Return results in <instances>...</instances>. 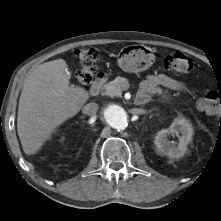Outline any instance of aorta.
Returning <instances> with one entry per match:
<instances>
[{"label": "aorta", "mask_w": 221, "mask_h": 221, "mask_svg": "<svg viewBox=\"0 0 221 221\" xmlns=\"http://www.w3.org/2000/svg\"><path fill=\"white\" fill-rule=\"evenodd\" d=\"M127 112L119 105H109L104 110L105 121L117 130H124L128 125Z\"/></svg>", "instance_id": "obj_1"}]
</instances>
